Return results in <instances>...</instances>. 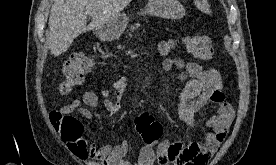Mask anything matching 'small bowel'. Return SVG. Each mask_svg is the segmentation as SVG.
Returning a JSON list of instances; mask_svg holds the SVG:
<instances>
[{"label":"small bowel","mask_w":276,"mask_h":165,"mask_svg":"<svg viewBox=\"0 0 276 165\" xmlns=\"http://www.w3.org/2000/svg\"><path fill=\"white\" fill-rule=\"evenodd\" d=\"M164 71L174 68L180 70L179 82L184 87L179 95V118L192 128H198L195 120L196 114L206 105L212 104L216 108V115L207 121L211 131L206 134L205 141L183 143L181 141L161 142L156 148L151 144L144 145L135 162L128 161L129 142L122 140L116 145L105 144L97 146L88 144L85 136L81 137L79 145H69L70 150L80 159H90L97 165H207L219 146L225 140L231 123L234 119V110L226 102L223 92L220 73L213 68H204L195 62H186L179 57H167L162 62ZM128 87L125 77L117 79L111 88H104L100 95L110 114L118 111V102L113 100V92L117 99L121 98ZM99 97L94 91H86L82 100L75 99L63 106L58 112L64 116L79 115L92 118L91 109L98 105ZM82 104L85 106L83 107Z\"/></svg>","instance_id":"small-bowel-1"}]
</instances>
